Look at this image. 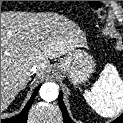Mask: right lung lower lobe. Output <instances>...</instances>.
<instances>
[{
    "label": "right lung lower lobe",
    "mask_w": 123,
    "mask_h": 123,
    "mask_svg": "<svg viewBox=\"0 0 123 123\" xmlns=\"http://www.w3.org/2000/svg\"><path fill=\"white\" fill-rule=\"evenodd\" d=\"M39 88H37L35 90V92L32 94V97L30 98L29 102L26 104L25 108L23 109V111L14 116L13 118H10V119H1V123H27V115H28V111H29V108L30 106L32 105L33 103V100L35 98V95L37 93Z\"/></svg>",
    "instance_id": "98d812e1"
}]
</instances>
